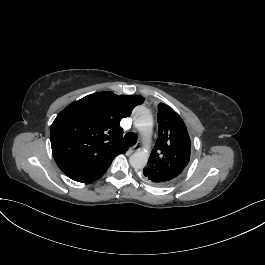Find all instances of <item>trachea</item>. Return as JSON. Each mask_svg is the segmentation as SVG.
Returning a JSON list of instances; mask_svg holds the SVG:
<instances>
[{"label": "trachea", "instance_id": "trachea-1", "mask_svg": "<svg viewBox=\"0 0 265 265\" xmlns=\"http://www.w3.org/2000/svg\"><path fill=\"white\" fill-rule=\"evenodd\" d=\"M136 142H137V135L135 133L130 132L124 136V143L127 146H134Z\"/></svg>", "mask_w": 265, "mask_h": 265}]
</instances>
